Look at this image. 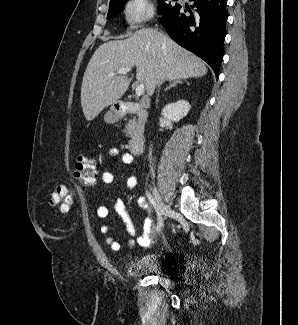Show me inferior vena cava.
I'll use <instances>...</instances> for the list:
<instances>
[{
	"mask_svg": "<svg viewBox=\"0 0 298 325\" xmlns=\"http://www.w3.org/2000/svg\"><path fill=\"white\" fill-rule=\"evenodd\" d=\"M162 80H163V78H160V80H159V84H158V88H159V86H160ZM150 171H151V175H152V177H154V175H155V171H154V169H150Z\"/></svg>",
	"mask_w": 298,
	"mask_h": 325,
	"instance_id": "1",
	"label": "inferior vena cava"
}]
</instances>
